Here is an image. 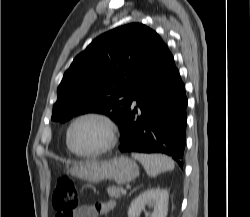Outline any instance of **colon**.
<instances>
[{"mask_svg":"<svg viewBox=\"0 0 250 217\" xmlns=\"http://www.w3.org/2000/svg\"><path fill=\"white\" fill-rule=\"evenodd\" d=\"M78 203L79 194L74 181L68 176L59 177L52 197L55 217H72Z\"/></svg>","mask_w":250,"mask_h":217,"instance_id":"colon-1","label":"colon"}]
</instances>
